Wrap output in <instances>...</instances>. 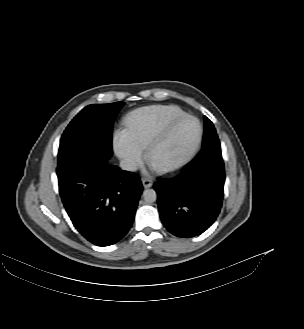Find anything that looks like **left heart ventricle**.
<instances>
[{
	"mask_svg": "<svg viewBox=\"0 0 304 329\" xmlns=\"http://www.w3.org/2000/svg\"><path fill=\"white\" fill-rule=\"evenodd\" d=\"M198 134L197 123L193 119L180 122L172 131L170 137L152 154L156 165H165L183 158L192 148Z\"/></svg>",
	"mask_w": 304,
	"mask_h": 329,
	"instance_id": "left-heart-ventricle-1",
	"label": "left heart ventricle"
}]
</instances>
